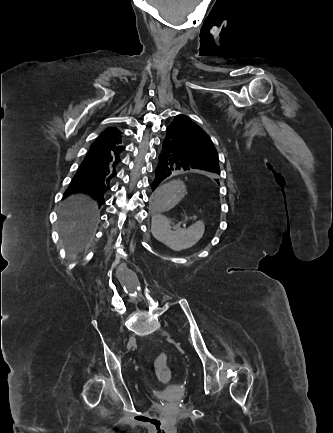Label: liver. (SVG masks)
<instances>
[{"instance_id":"obj_1","label":"liver","mask_w":333,"mask_h":433,"mask_svg":"<svg viewBox=\"0 0 333 433\" xmlns=\"http://www.w3.org/2000/svg\"><path fill=\"white\" fill-rule=\"evenodd\" d=\"M98 217V204L89 196L73 194L64 201L59 217V231L71 259L92 239Z\"/></svg>"}]
</instances>
